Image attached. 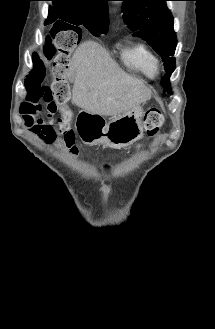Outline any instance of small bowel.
I'll use <instances>...</instances> for the list:
<instances>
[{"mask_svg":"<svg viewBox=\"0 0 215 329\" xmlns=\"http://www.w3.org/2000/svg\"><path fill=\"white\" fill-rule=\"evenodd\" d=\"M23 119L25 125L29 128L32 134L41 139L45 144L57 146L62 144L54 129V125H50L49 123L33 115L23 116ZM47 127L49 128L47 129ZM68 146L72 154L77 153V149L74 146L69 144Z\"/></svg>","mask_w":215,"mask_h":329,"instance_id":"c3829d8e","label":"small bowel"}]
</instances>
